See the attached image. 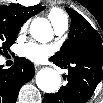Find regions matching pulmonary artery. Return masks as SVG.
<instances>
[{"label":"pulmonary artery","mask_w":103,"mask_h":103,"mask_svg":"<svg viewBox=\"0 0 103 103\" xmlns=\"http://www.w3.org/2000/svg\"><path fill=\"white\" fill-rule=\"evenodd\" d=\"M67 30V23H64L55 28V32L58 35H62Z\"/></svg>","instance_id":"obj_1"}]
</instances>
